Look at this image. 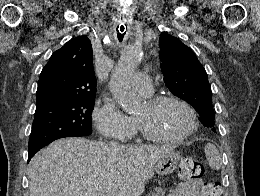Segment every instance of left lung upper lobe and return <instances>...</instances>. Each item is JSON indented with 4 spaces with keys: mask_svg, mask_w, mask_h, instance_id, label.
I'll use <instances>...</instances> for the list:
<instances>
[{
    "mask_svg": "<svg viewBox=\"0 0 260 196\" xmlns=\"http://www.w3.org/2000/svg\"><path fill=\"white\" fill-rule=\"evenodd\" d=\"M159 45L165 84L175 96L190 103L199 115L212 117L206 126L216 132L211 88L204 67L189 47L167 32L161 33Z\"/></svg>",
    "mask_w": 260,
    "mask_h": 196,
    "instance_id": "1",
    "label": "left lung upper lobe"
}]
</instances>
